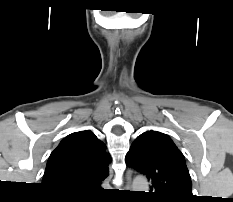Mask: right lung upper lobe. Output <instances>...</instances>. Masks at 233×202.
<instances>
[{
    "label": "right lung upper lobe",
    "mask_w": 233,
    "mask_h": 202,
    "mask_svg": "<svg viewBox=\"0 0 233 202\" xmlns=\"http://www.w3.org/2000/svg\"><path fill=\"white\" fill-rule=\"evenodd\" d=\"M109 162L105 145L93 132H75L51 153L42 184L58 196L87 197L100 190Z\"/></svg>",
    "instance_id": "cb5924a9"
}]
</instances>
